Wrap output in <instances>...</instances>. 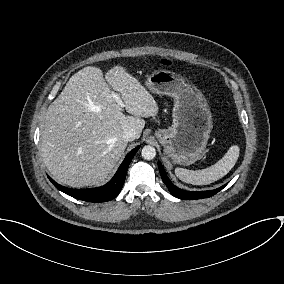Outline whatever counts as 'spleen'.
Masks as SVG:
<instances>
[{"label": "spleen", "instance_id": "obj_1", "mask_svg": "<svg viewBox=\"0 0 284 284\" xmlns=\"http://www.w3.org/2000/svg\"><path fill=\"white\" fill-rule=\"evenodd\" d=\"M239 147L233 145L227 153L214 165L202 170H187L184 168H176V176L183 182L193 185H205L225 176L236 164L239 157Z\"/></svg>", "mask_w": 284, "mask_h": 284}]
</instances>
